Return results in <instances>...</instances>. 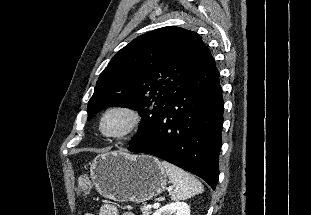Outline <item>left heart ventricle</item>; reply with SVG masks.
I'll return each mask as SVG.
<instances>
[{
  "label": "left heart ventricle",
  "instance_id": "b2bd125f",
  "mask_svg": "<svg viewBox=\"0 0 311 215\" xmlns=\"http://www.w3.org/2000/svg\"><path fill=\"white\" fill-rule=\"evenodd\" d=\"M129 118L126 114L114 112L109 114L104 120V128L107 132H118L126 127Z\"/></svg>",
  "mask_w": 311,
  "mask_h": 215
}]
</instances>
